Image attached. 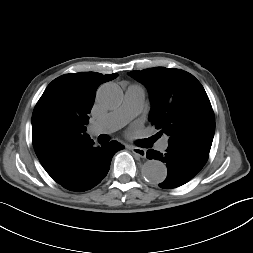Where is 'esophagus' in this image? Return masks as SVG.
Masks as SVG:
<instances>
[{
	"label": "esophagus",
	"instance_id": "esophagus-1",
	"mask_svg": "<svg viewBox=\"0 0 253 253\" xmlns=\"http://www.w3.org/2000/svg\"><path fill=\"white\" fill-rule=\"evenodd\" d=\"M132 152L141 157V158H146V150L140 147H132L131 148Z\"/></svg>",
	"mask_w": 253,
	"mask_h": 253
}]
</instances>
